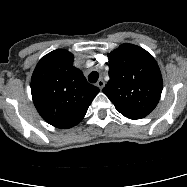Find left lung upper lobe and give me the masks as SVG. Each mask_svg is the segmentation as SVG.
I'll use <instances>...</instances> for the list:
<instances>
[{
	"instance_id": "1",
	"label": "left lung upper lobe",
	"mask_w": 187,
	"mask_h": 187,
	"mask_svg": "<svg viewBox=\"0 0 187 187\" xmlns=\"http://www.w3.org/2000/svg\"><path fill=\"white\" fill-rule=\"evenodd\" d=\"M110 80L104 94L123 116L136 120L159 102L162 76L155 59L143 48L123 44L108 54Z\"/></svg>"
}]
</instances>
